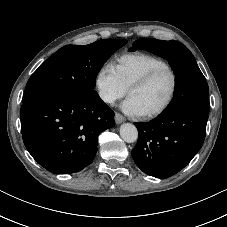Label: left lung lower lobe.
<instances>
[{
  "label": "left lung lower lobe",
  "instance_id": "left-lung-lower-lobe-1",
  "mask_svg": "<svg viewBox=\"0 0 227 227\" xmlns=\"http://www.w3.org/2000/svg\"><path fill=\"white\" fill-rule=\"evenodd\" d=\"M208 113L183 109L161 114L147 123H135L139 138L132 150L146 174L168 178L182 170L201 149Z\"/></svg>",
  "mask_w": 227,
  "mask_h": 227
}]
</instances>
